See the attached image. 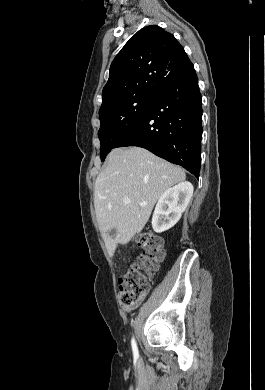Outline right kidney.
<instances>
[{
  "instance_id": "right-kidney-1",
  "label": "right kidney",
  "mask_w": 265,
  "mask_h": 390,
  "mask_svg": "<svg viewBox=\"0 0 265 390\" xmlns=\"http://www.w3.org/2000/svg\"><path fill=\"white\" fill-rule=\"evenodd\" d=\"M193 190V185L185 181L166 190L160 196L152 216V227L155 232H164L179 221L191 200Z\"/></svg>"
}]
</instances>
